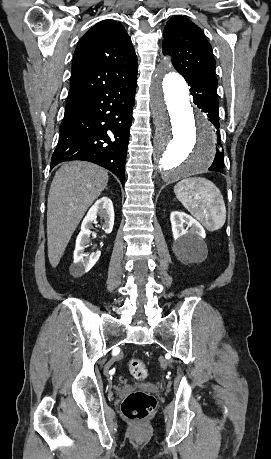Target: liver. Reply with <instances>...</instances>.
<instances>
[{
	"label": "liver",
	"mask_w": 271,
	"mask_h": 459,
	"mask_svg": "<svg viewBox=\"0 0 271 459\" xmlns=\"http://www.w3.org/2000/svg\"><path fill=\"white\" fill-rule=\"evenodd\" d=\"M108 184L107 170L90 162H64L56 172L47 204L48 257L58 265L89 206Z\"/></svg>",
	"instance_id": "liver-1"
}]
</instances>
